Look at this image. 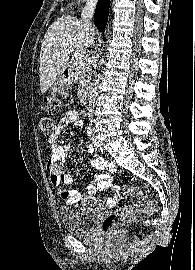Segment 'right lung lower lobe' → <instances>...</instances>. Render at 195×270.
<instances>
[{"label": "right lung lower lobe", "mask_w": 195, "mask_h": 270, "mask_svg": "<svg viewBox=\"0 0 195 270\" xmlns=\"http://www.w3.org/2000/svg\"><path fill=\"white\" fill-rule=\"evenodd\" d=\"M110 0H99L94 14V24L102 32L104 31L108 14H109Z\"/></svg>", "instance_id": "1"}]
</instances>
